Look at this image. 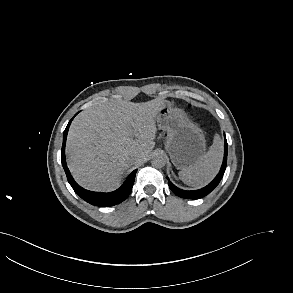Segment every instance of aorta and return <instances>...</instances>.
<instances>
[{"instance_id":"aorta-1","label":"aorta","mask_w":293,"mask_h":293,"mask_svg":"<svg viewBox=\"0 0 293 293\" xmlns=\"http://www.w3.org/2000/svg\"><path fill=\"white\" fill-rule=\"evenodd\" d=\"M151 163L156 168L164 167L166 164V157L161 154H156L152 157Z\"/></svg>"}]
</instances>
